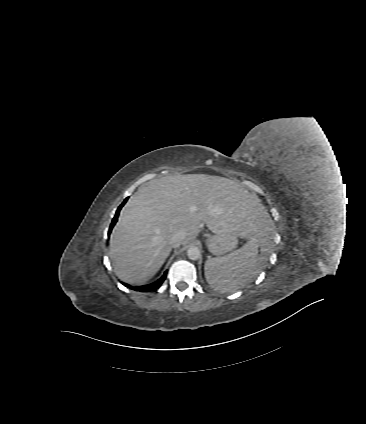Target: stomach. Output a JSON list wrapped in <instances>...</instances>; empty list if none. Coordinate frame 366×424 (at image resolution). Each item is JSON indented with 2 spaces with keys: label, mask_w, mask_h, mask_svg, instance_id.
Returning a JSON list of instances; mask_svg holds the SVG:
<instances>
[{
  "label": "stomach",
  "mask_w": 366,
  "mask_h": 424,
  "mask_svg": "<svg viewBox=\"0 0 366 424\" xmlns=\"http://www.w3.org/2000/svg\"><path fill=\"white\" fill-rule=\"evenodd\" d=\"M238 238L239 234L236 231L219 232L207 239L206 246L212 254L219 256L234 249L237 245Z\"/></svg>",
  "instance_id": "1"
}]
</instances>
